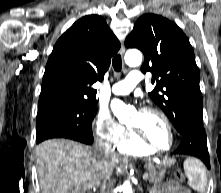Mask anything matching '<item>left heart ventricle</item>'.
<instances>
[{
    "label": "left heart ventricle",
    "instance_id": "left-heart-ventricle-1",
    "mask_svg": "<svg viewBox=\"0 0 221 193\" xmlns=\"http://www.w3.org/2000/svg\"><path fill=\"white\" fill-rule=\"evenodd\" d=\"M128 125L140 130L150 142L160 148H167L170 144L166 124L154 113H135Z\"/></svg>",
    "mask_w": 221,
    "mask_h": 193
}]
</instances>
